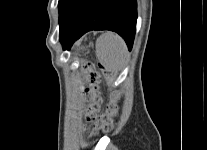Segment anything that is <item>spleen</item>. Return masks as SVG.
I'll use <instances>...</instances> for the list:
<instances>
[{
    "mask_svg": "<svg viewBox=\"0 0 207 150\" xmlns=\"http://www.w3.org/2000/svg\"><path fill=\"white\" fill-rule=\"evenodd\" d=\"M96 54L107 69L119 72L127 60L128 50L118 34L105 32L96 41Z\"/></svg>",
    "mask_w": 207,
    "mask_h": 150,
    "instance_id": "spleen-1",
    "label": "spleen"
}]
</instances>
